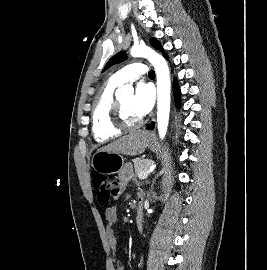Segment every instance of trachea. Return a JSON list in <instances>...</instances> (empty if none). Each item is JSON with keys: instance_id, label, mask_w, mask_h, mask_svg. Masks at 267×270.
Here are the masks:
<instances>
[{"instance_id": "1", "label": "trachea", "mask_w": 267, "mask_h": 270, "mask_svg": "<svg viewBox=\"0 0 267 270\" xmlns=\"http://www.w3.org/2000/svg\"><path fill=\"white\" fill-rule=\"evenodd\" d=\"M150 76L155 75V72L153 70H150L148 73Z\"/></svg>"}]
</instances>
